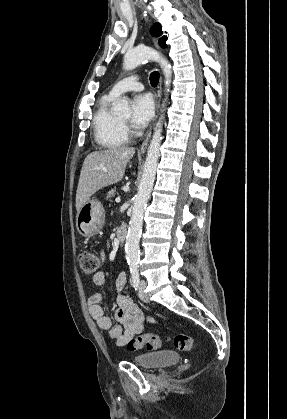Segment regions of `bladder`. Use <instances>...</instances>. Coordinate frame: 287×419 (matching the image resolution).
Wrapping results in <instances>:
<instances>
[{
	"mask_svg": "<svg viewBox=\"0 0 287 419\" xmlns=\"http://www.w3.org/2000/svg\"><path fill=\"white\" fill-rule=\"evenodd\" d=\"M134 360L142 368L159 369L176 364L179 356L171 351H157L140 355Z\"/></svg>",
	"mask_w": 287,
	"mask_h": 419,
	"instance_id": "31cf9c89",
	"label": "bladder"
}]
</instances>
